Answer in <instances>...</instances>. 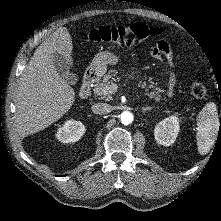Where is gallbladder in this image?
Here are the masks:
<instances>
[{
    "instance_id": "obj_1",
    "label": "gallbladder",
    "mask_w": 221,
    "mask_h": 221,
    "mask_svg": "<svg viewBox=\"0 0 221 221\" xmlns=\"http://www.w3.org/2000/svg\"><path fill=\"white\" fill-rule=\"evenodd\" d=\"M54 65L61 74L62 78L70 85H75L78 81L77 77L70 73V66L64 56L59 53L54 54Z\"/></svg>"
}]
</instances>
